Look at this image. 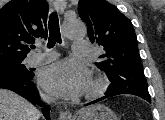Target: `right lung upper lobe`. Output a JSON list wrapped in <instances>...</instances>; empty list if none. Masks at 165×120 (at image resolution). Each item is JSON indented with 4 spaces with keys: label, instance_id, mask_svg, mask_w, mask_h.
I'll list each match as a JSON object with an SVG mask.
<instances>
[{
    "label": "right lung upper lobe",
    "instance_id": "cb5924a9",
    "mask_svg": "<svg viewBox=\"0 0 165 120\" xmlns=\"http://www.w3.org/2000/svg\"><path fill=\"white\" fill-rule=\"evenodd\" d=\"M46 0H12L0 9V62L21 60L28 44L47 38Z\"/></svg>",
    "mask_w": 165,
    "mask_h": 120
}]
</instances>
